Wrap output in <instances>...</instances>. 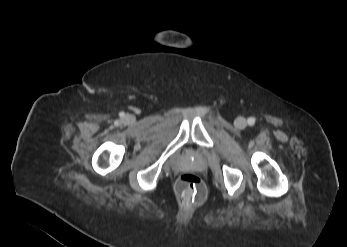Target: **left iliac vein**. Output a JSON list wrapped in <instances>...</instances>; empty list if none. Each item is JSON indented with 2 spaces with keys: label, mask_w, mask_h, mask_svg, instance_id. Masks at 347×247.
Wrapping results in <instances>:
<instances>
[{
  "label": "left iliac vein",
  "mask_w": 347,
  "mask_h": 247,
  "mask_svg": "<svg viewBox=\"0 0 347 247\" xmlns=\"http://www.w3.org/2000/svg\"><path fill=\"white\" fill-rule=\"evenodd\" d=\"M234 124L237 128L243 129L246 127L247 121L244 117L239 116L235 119Z\"/></svg>",
  "instance_id": "1"
}]
</instances>
